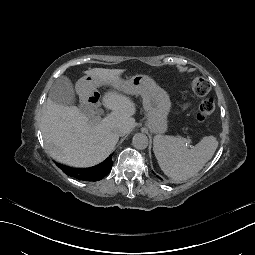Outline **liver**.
Returning a JSON list of instances; mask_svg holds the SVG:
<instances>
[{"label": "liver", "instance_id": "1", "mask_svg": "<svg viewBox=\"0 0 255 255\" xmlns=\"http://www.w3.org/2000/svg\"><path fill=\"white\" fill-rule=\"evenodd\" d=\"M126 69L91 68L82 71L93 80L110 87L101 96L100 104L111 114L94 123L74 106H61L47 99L42 114L41 132L47 149L57 160L76 167H91L105 160L115 148L119 136L114 127L126 124L131 130L137 107L128 91L119 89ZM156 96L163 106L170 104L168 93L155 82L144 101ZM168 114V112L166 113Z\"/></svg>", "mask_w": 255, "mask_h": 255}]
</instances>
